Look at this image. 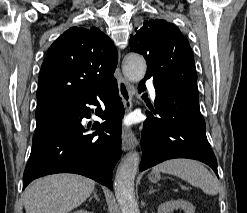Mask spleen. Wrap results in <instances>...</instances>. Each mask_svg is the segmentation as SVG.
Returning <instances> with one entry per match:
<instances>
[{"label": "spleen", "instance_id": "3e777b00", "mask_svg": "<svg viewBox=\"0 0 247 213\" xmlns=\"http://www.w3.org/2000/svg\"><path fill=\"white\" fill-rule=\"evenodd\" d=\"M152 172L173 174L212 196L216 195L220 188L217 178L195 160L181 158L168 160L154 166Z\"/></svg>", "mask_w": 247, "mask_h": 213}]
</instances>
